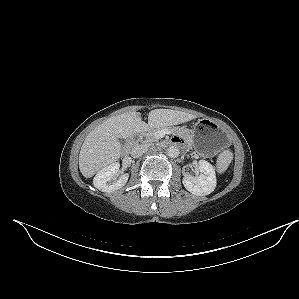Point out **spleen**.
I'll return each mask as SVG.
<instances>
[{
  "label": "spleen",
  "instance_id": "spleen-1",
  "mask_svg": "<svg viewBox=\"0 0 299 299\" xmlns=\"http://www.w3.org/2000/svg\"><path fill=\"white\" fill-rule=\"evenodd\" d=\"M233 159V154L230 150H224L219 154L216 161V167L218 172L221 174L226 171Z\"/></svg>",
  "mask_w": 299,
  "mask_h": 299
}]
</instances>
